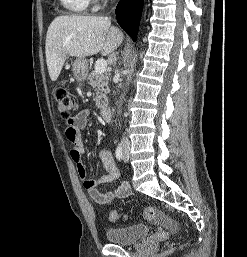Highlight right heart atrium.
I'll use <instances>...</instances> for the list:
<instances>
[{
  "label": "right heart atrium",
  "mask_w": 247,
  "mask_h": 257,
  "mask_svg": "<svg viewBox=\"0 0 247 257\" xmlns=\"http://www.w3.org/2000/svg\"><path fill=\"white\" fill-rule=\"evenodd\" d=\"M91 2H93L95 5H98L101 2V0H91Z\"/></svg>",
  "instance_id": "obj_1"
}]
</instances>
